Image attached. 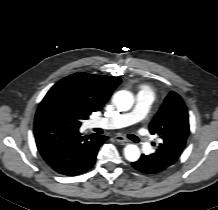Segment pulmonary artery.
Instances as JSON below:
<instances>
[{"mask_svg":"<svg viewBox=\"0 0 218 210\" xmlns=\"http://www.w3.org/2000/svg\"><path fill=\"white\" fill-rule=\"evenodd\" d=\"M154 100V94L149 87H142L137 95V103L134 109L130 112H125L110 118H95L88 122L90 128H106L114 129L133 125L142 120L148 113ZM140 138L141 147L144 151L150 152L152 150L151 142L147 137L137 133Z\"/></svg>","mask_w":218,"mask_h":210,"instance_id":"pulmonary-artery-1","label":"pulmonary artery"}]
</instances>
